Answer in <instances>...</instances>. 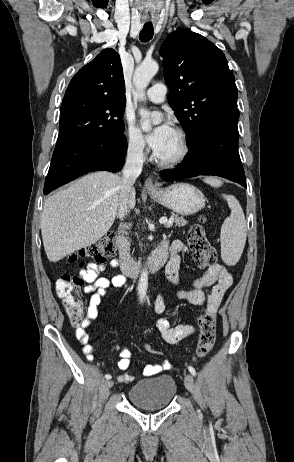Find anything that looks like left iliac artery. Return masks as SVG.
<instances>
[{
    "instance_id": "obj_1",
    "label": "left iliac artery",
    "mask_w": 294,
    "mask_h": 462,
    "mask_svg": "<svg viewBox=\"0 0 294 462\" xmlns=\"http://www.w3.org/2000/svg\"><path fill=\"white\" fill-rule=\"evenodd\" d=\"M188 370H189V372H190L193 376L196 375V371H195V369H194L192 366H189V367H188Z\"/></svg>"
}]
</instances>
